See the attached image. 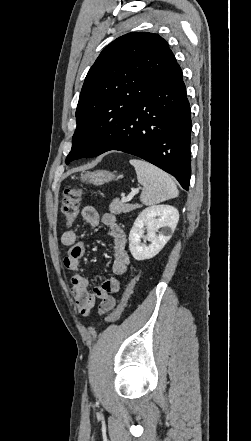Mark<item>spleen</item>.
I'll list each match as a JSON object with an SVG mask.
<instances>
[{
	"mask_svg": "<svg viewBox=\"0 0 251 441\" xmlns=\"http://www.w3.org/2000/svg\"><path fill=\"white\" fill-rule=\"evenodd\" d=\"M138 182L143 185L140 201L154 205L178 196V189L172 178L158 167L140 159H130Z\"/></svg>",
	"mask_w": 251,
	"mask_h": 441,
	"instance_id": "3e777b00",
	"label": "spleen"
}]
</instances>
